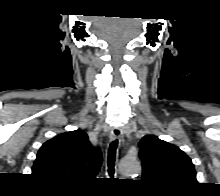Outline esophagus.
I'll use <instances>...</instances> for the list:
<instances>
[{
    "label": "esophagus",
    "mask_w": 220,
    "mask_h": 196,
    "mask_svg": "<svg viewBox=\"0 0 220 196\" xmlns=\"http://www.w3.org/2000/svg\"><path fill=\"white\" fill-rule=\"evenodd\" d=\"M123 136L122 130L120 128H113V130L110 133V139L111 140H116V139H121Z\"/></svg>",
    "instance_id": "1"
}]
</instances>
